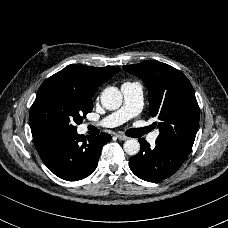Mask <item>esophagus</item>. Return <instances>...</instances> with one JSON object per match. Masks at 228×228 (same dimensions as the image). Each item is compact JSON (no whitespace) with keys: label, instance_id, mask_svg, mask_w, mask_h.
Wrapping results in <instances>:
<instances>
[{"label":"esophagus","instance_id":"obj_1","mask_svg":"<svg viewBox=\"0 0 228 228\" xmlns=\"http://www.w3.org/2000/svg\"><path fill=\"white\" fill-rule=\"evenodd\" d=\"M117 138H118L119 140H122V141H125V140L128 139V137L125 136V135L122 134V133H118V134H117Z\"/></svg>","mask_w":228,"mask_h":228}]
</instances>
